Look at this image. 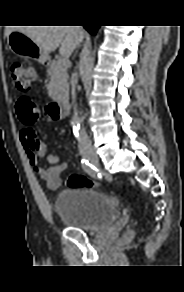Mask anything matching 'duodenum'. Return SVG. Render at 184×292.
I'll return each mask as SVG.
<instances>
[{"label": "duodenum", "mask_w": 184, "mask_h": 292, "mask_svg": "<svg viewBox=\"0 0 184 292\" xmlns=\"http://www.w3.org/2000/svg\"><path fill=\"white\" fill-rule=\"evenodd\" d=\"M47 112L51 118L58 119L64 117L68 112V102L66 99L53 101L47 107Z\"/></svg>", "instance_id": "1"}]
</instances>
